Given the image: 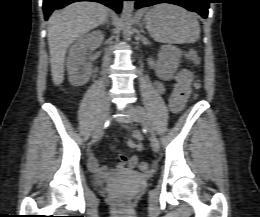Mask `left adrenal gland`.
Here are the masks:
<instances>
[{
	"label": "left adrenal gland",
	"mask_w": 260,
	"mask_h": 217,
	"mask_svg": "<svg viewBox=\"0 0 260 217\" xmlns=\"http://www.w3.org/2000/svg\"><path fill=\"white\" fill-rule=\"evenodd\" d=\"M144 23H145V22H143V23L140 25V29H141L142 32H144V30H143V25H144Z\"/></svg>",
	"instance_id": "1"
}]
</instances>
